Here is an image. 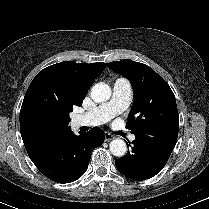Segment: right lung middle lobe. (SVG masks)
I'll return each instance as SVG.
<instances>
[{"mask_svg":"<svg viewBox=\"0 0 209 209\" xmlns=\"http://www.w3.org/2000/svg\"><path fill=\"white\" fill-rule=\"evenodd\" d=\"M70 85L52 76L35 77L28 88L27 110L45 124H66L73 106H80Z\"/></svg>","mask_w":209,"mask_h":209,"instance_id":"dd1d6c3e","label":"right lung middle lobe"}]
</instances>
